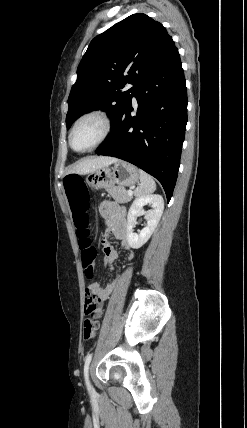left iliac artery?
I'll list each match as a JSON object with an SVG mask.
<instances>
[{"label": "left iliac artery", "instance_id": "1", "mask_svg": "<svg viewBox=\"0 0 247 428\" xmlns=\"http://www.w3.org/2000/svg\"><path fill=\"white\" fill-rule=\"evenodd\" d=\"M92 359V353L88 354L85 358V364H84V377H85V382L86 385L89 389V379H88V370H89V365Z\"/></svg>", "mask_w": 247, "mask_h": 428}]
</instances>
